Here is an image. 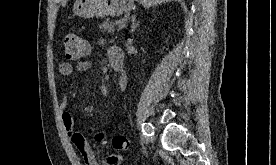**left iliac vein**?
Here are the masks:
<instances>
[{
  "label": "left iliac vein",
  "instance_id": "1",
  "mask_svg": "<svg viewBox=\"0 0 276 165\" xmlns=\"http://www.w3.org/2000/svg\"><path fill=\"white\" fill-rule=\"evenodd\" d=\"M154 134V131H153ZM149 140L152 141L153 140V135L151 137H149Z\"/></svg>",
  "mask_w": 276,
  "mask_h": 165
}]
</instances>
